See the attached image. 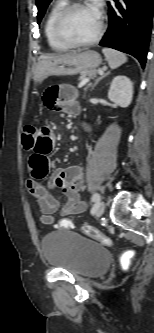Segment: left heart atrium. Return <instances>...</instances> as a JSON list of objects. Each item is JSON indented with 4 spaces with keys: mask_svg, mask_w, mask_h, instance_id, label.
I'll return each instance as SVG.
<instances>
[{
    "mask_svg": "<svg viewBox=\"0 0 154 333\" xmlns=\"http://www.w3.org/2000/svg\"><path fill=\"white\" fill-rule=\"evenodd\" d=\"M90 7H92L98 13V0H95V2Z\"/></svg>",
    "mask_w": 154,
    "mask_h": 333,
    "instance_id": "obj_1",
    "label": "left heart atrium"
}]
</instances>
